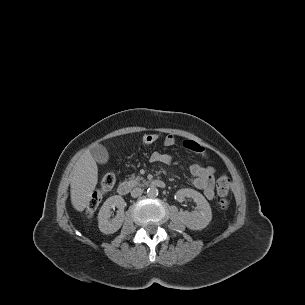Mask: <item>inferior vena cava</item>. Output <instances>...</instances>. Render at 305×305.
<instances>
[{
  "mask_svg": "<svg viewBox=\"0 0 305 305\" xmlns=\"http://www.w3.org/2000/svg\"><path fill=\"white\" fill-rule=\"evenodd\" d=\"M143 193V189L137 187V188H134L132 191H131V196L136 198L138 196H141Z\"/></svg>",
  "mask_w": 305,
  "mask_h": 305,
  "instance_id": "inferior-vena-cava-1",
  "label": "inferior vena cava"
}]
</instances>
